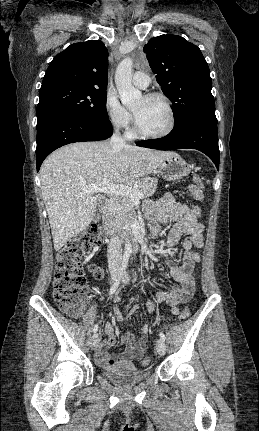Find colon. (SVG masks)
I'll return each instance as SVG.
<instances>
[{
	"mask_svg": "<svg viewBox=\"0 0 259 431\" xmlns=\"http://www.w3.org/2000/svg\"><path fill=\"white\" fill-rule=\"evenodd\" d=\"M204 185L199 175L193 176V184L190 186V193L197 201H202ZM191 217L199 219L201 209L196 202L191 203ZM104 231L98 226L88 228L79 236L69 240L65 246L57 253L54 272V300L59 309L66 315L77 318L83 309V300L87 293V281L82 266V257L90 253L94 247L103 241ZM91 272L94 277H103L102 270L96 265H91ZM190 312L184 308L178 313V319L184 321L188 319ZM153 362L151 356H146L142 360L143 366H150Z\"/></svg>",
	"mask_w": 259,
	"mask_h": 431,
	"instance_id": "1",
	"label": "colon"
}]
</instances>
